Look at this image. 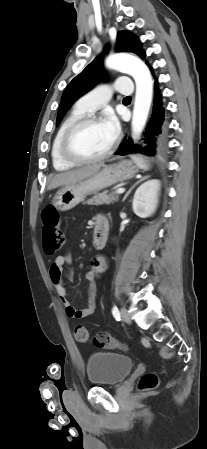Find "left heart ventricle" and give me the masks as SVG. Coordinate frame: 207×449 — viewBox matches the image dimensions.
<instances>
[{"mask_svg":"<svg viewBox=\"0 0 207 449\" xmlns=\"http://www.w3.org/2000/svg\"><path fill=\"white\" fill-rule=\"evenodd\" d=\"M111 143L103 123H97L77 130L71 139V148L80 156L93 157L107 150Z\"/></svg>","mask_w":207,"mask_h":449,"instance_id":"left-heart-ventricle-1","label":"left heart ventricle"}]
</instances>
